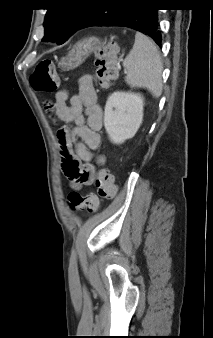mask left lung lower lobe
<instances>
[{
  "label": "left lung lower lobe",
  "instance_id": "obj_1",
  "mask_svg": "<svg viewBox=\"0 0 213 338\" xmlns=\"http://www.w3.org/2000/svg\"><path fill=\"white\" fill-rule=\"evenodd\" d=\"M93 26H124L150 36L161 46L157 8L151 0H106L82 22L79 29Z\"/></svg>",
  "mask_w": 213,
  "mask_h": 338
}]
</instances>
